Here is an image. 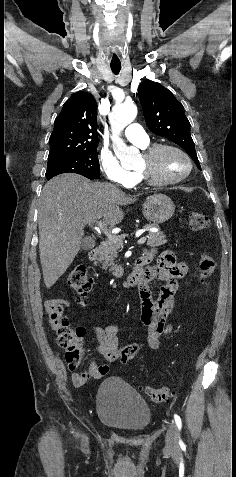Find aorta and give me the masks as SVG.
Returning <instances> with one entry per match:
<instances>
[{
  "label": "aorta",
  "mask_w": 236,
  "mask_h": 477,
  "mask_svg": "<svg viewBox=\"0 0 236 477\" xmlns=\"http://www.w3.org/2000/svg\"><path fill=\"white\" fill-rule=\"evenodd\" d=\"M137 116V107L133 103H123L113 108L110 123L113 132V146L117 157L122 163L136 157L138 150L135 147H129L119 137L121 131L130 124Z\"/></svg>",
  "instance_id": "aorta-1"
}]
</instances>
